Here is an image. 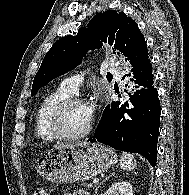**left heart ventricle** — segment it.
Instances as JSON below:
<instances>
[{"label":"left heart ventricle","instance_id":"1","mask_svg":"<svg viewBox=\"0 0 189 195\" xmlns=\"http://www.w3.org/2000/svg\"><path fill=\"white\" fill-rule=\"evenodd\" d=\"M87 104H76L64 115L63 127L70 134L82 132L91 120Z\"/></svg>","mask_w":189,"mask_h":195}]
</instances>
